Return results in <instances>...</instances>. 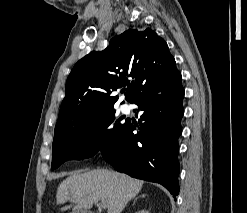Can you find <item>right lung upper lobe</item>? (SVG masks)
<instances>
[{
    "mask_svg": "<svg viewBox=\"0 0 247 213\" xmlns=\"http://www.w3.org/2000/svg\"><path fill=\"white\" fill-rule=\"evenodd\" d=\"M175 67L167 43L153 30L129 29L101 52H91L73 67L66 82L54 136L90 122L113 109L118 96L109 94L128 84L130 100L144 86Z\"/></svg>",
    "mask_w": 247,
    "mask_h": 213,
    "instance_id": "obj_1",
    "label": "right lung upper lobe"
}]
</instances>
